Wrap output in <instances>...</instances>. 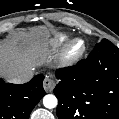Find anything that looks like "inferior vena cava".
I'll return each instance as SVG.
<instances>
[{
    "instance_id": "1",
    "label": "inferior vena cava",
    "mask_w": 119,
    "mask_h": 119,
    "mask_svg": "<svg viewBox=\"0 0 119 119\" xmlns=\"http://www.w3.org/2000/svg\"><path fill=\"white\" fill-rule=\"evenodd\" d=\"M34 76V72L32 70H27L22 73L16 74L8 78V82L13 84H23L30 81Z\"/></svg>"
}]
</instances>
